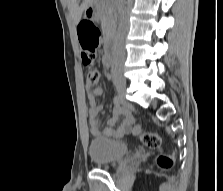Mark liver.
I'll return each mask as SVG.
<instances>
[{
	"instance_id": "1",
	"label": "liver",
	"mask_w": 223,
	"mask_h": 191,
	"mask_svg": "<svg viewBox=\"0 0 223 191\" xmlns=\"http://www.w3.org/2000/svg\"><path fill=\"white\" fill-rule=\"evenodd\" d=\"M94 2L95 0H83L82 4L79 5V0L68 1V9L76 25L80 22L83 12L92 6Z\"/></svg>"
}]
</instances>
